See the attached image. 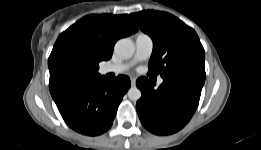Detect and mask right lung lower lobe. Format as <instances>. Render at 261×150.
<instances>
[{"instance_id":"obj_1","label":"right lung lower lobe","mask_w":261,"mask_h":150,"mask_svg":"<svg viewBox=\"0 0 261 150\" xmlns=\"http://www.w3.org/2000/svg\"><path fill=\"white\" fill-rule=\"evenodd\" d=\"M130 85L127 76L120 75L113 80L103 77L73 87L53 99L64 121L72 129L94 136L111 127L118 105Z\"/></svg>"}]
</instances>
